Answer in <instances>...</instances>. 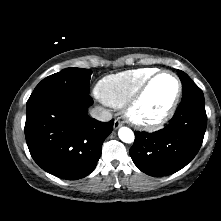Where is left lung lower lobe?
<instances>
[{
	"label": "left lung lower lobe",
	"mask_w": 221,
	"mask_h": 221,
	"mask_svg": "<svg viewBox=\"0 0 221 221\" xmlns=\"http://www.w3.org/2000/svg\"><path fill=\"white\" fill-rule=\"evenodd\" d=\"M206 125L204 99L183 100L166 127L153 133L136 132L130 156L134 164L150 176L171 175L196 156Z\"/></svg>",
	"instance_id": "left-lung-lower-lobe-1"
}]
</instances>
